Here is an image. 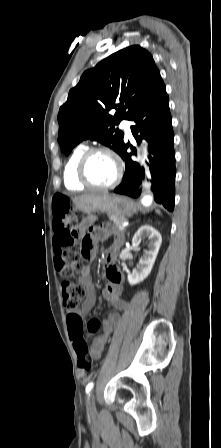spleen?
Masks as SVG:
<instances>
[{
  "label": "spleen",
  "mask_w": 221,
  "mask_h": 448,
  "mask_svg": "<svg viewBox=\"0 0 221 448\" xmlns=\"http://www.w3.org/2000/svg\"><path fill=\"white\" fill-rule=\"evenodd\" d=\"M156 212L160 214V211H159V210H157Z\"/></svg>",
  "instance_id": "3e777b00"
}]
</instances>
